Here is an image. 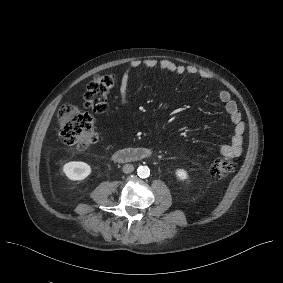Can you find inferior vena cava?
I'll return each mask as SVG.
<instances>
[{"label":"inferior vena cava","mask_w":283,"mask_h":283,"mask_svg":"<svg viewBox=\"0 0 283 283\" xmlns=\"http://www.w3.org/2000/svg\"><path fill=\"white\" fill-rule=\"evenodd\" d=\"M133 171H134V166H133V165H131V164H125V165L123 166V172H124V173L128 174V173H131V172H133Z\"/></svg>","instance_id":"602c4592"}]
</instances>
